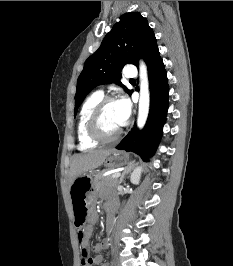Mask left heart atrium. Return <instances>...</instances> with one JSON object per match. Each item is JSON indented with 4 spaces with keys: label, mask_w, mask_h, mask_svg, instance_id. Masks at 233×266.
Masks as SVG:
<instances>
[{
    "label": "left heart atrium",
    "mask_w": 233,
    "mask_h": 266,
    "mask_svg": "<svg viewBox=\"0 0 233 266\" xmlns=\"http://www.w3.org/2000/svg\"><path fill=\"white\" fill-rule=\"evenodd\" d=\"M118 108L119 121L121 126L125 125L131 114V104L125 97L116 101Z\"/></svg>",
    "instance_id": "obj_1"
}]
</instances>
